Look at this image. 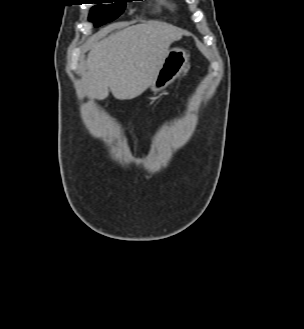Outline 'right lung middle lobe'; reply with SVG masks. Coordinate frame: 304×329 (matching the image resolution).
I'll return each mask as SVG.
<instances>
[{"label":"right lung middle lobe","mask_w":304,"mask_h":329,"mask_svg":"<svg viewBox=\"0 0 304 329\" xmlns=\"http://www.w3.org/2000/svg\"><path fill=\"white\" fill-rule=\"evenodd\" d=\"M108 7H94L90 12L89 19L94 22L95 26H101L116 19L125 8V3L130 0H94L93 3H112Z\"/></svg>","instance_id":"dd1d6c3e"}]
</instances>
